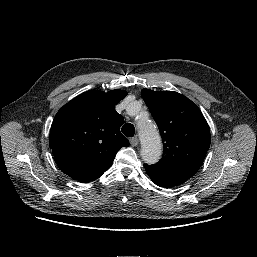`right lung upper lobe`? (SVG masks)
Masks as SVG:
<instances>
[{
    "mask_svg": "<svg viewBox=\"0 0 257 257\" xmlns=\"http://www.w3.org/2000/svg\"><path fill=\"white\" fill-rule=\"evenodd\" d=\"M127 92L90 90L64 105L54 117L49 143L58 167L82 183L100 177L129 141L120 133L123 116L115 105Z\"/></svg>",
    "mask_w": 257,
    "mask_h": 257,
    "instance_id": "1",
    "label": "right lung upper lobe"
}]
</instances>
